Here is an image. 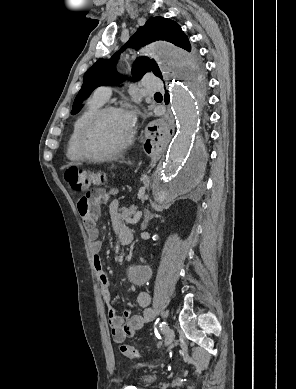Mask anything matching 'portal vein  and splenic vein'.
I'll use <instances>...</instances> for the list:
<instances>
[{"mask_svg":"<svg viewBox=\"0 0 296 389\" xmlns=\"http://www.w3.org/2000/svg\"><path fill=\"white\" fill-rule=\"evenodd\" d=\"M141 216H142V211H138V212L134 215V217H133V219H132V223H133V224L137 223V222L140 220Z\"/></svg>","mask_w":296,"mask_h":389,"instance_id":"portal-vein-and-splenic-vein-1","label":"portal vein and splenic vein"}]
</instances>
